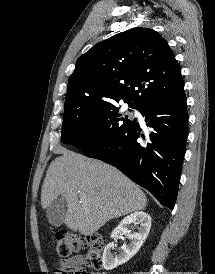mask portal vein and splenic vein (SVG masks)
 <instances>
[{
  "instance_id": "obj_1",
  "label": "portal vein and splenic vein",
  "mask_w": 215,
  "mask_h": 274,
  "mask_svg": "<svg viewBox=\"0 0 215 274\" xmlns=\"http://www.w3.org/2000/svg\"><path fill=\"white\" fill-rule=\"evenodd\" d=\"M79 197H80L81 201H84L86 198L85 194H83V193H79Z\"/></svg>"
}]
</instances>
